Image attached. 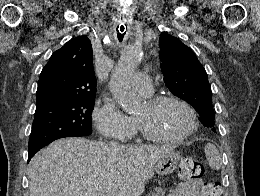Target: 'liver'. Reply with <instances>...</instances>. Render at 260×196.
Listing matches in <instances>:
<instances>
[{"mask_svg": "<svg viewBox=\"0 0 260 196\" xmlns=\"http://www.w3.org/2000/svg\"><path fill=\"white\" fill-rule=\"evenodd\" d=\"M177 146H124L61 138L28 164L30 196H141L159 158Z\"/></svg>", "mask_w": 260, "mask_h": 196, "instance_id": "liver-1", "label": "liver"}]
</instances>
